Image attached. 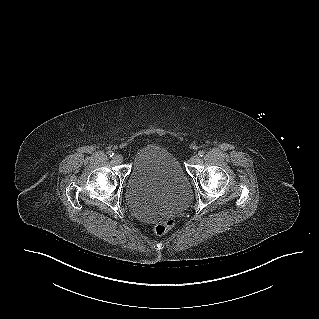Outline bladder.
Segmentation results:
<instances>
[{"label":"bladder","mask_w":319,"mask_h":319,"mask_svg":"<svg viewBox=\"0 0 319 319\" xmlns=\"http://www.w3.org/2000/svg\"><path fill=\"white\" fill-rule=\"evenodd\" d=\"M191 198L189 176L165 148L150 145L132 162L126 181V200L142 219H159L186 206Z\"/></svg>","instance_id":"bladder-1"}]
</instances>
